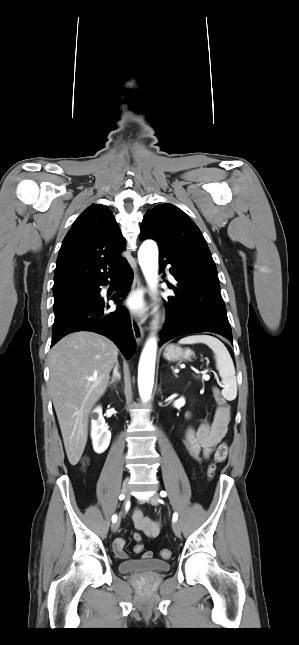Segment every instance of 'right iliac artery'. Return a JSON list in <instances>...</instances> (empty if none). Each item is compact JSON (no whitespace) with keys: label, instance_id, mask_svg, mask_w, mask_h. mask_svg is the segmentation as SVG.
<instances>
[{"label":"right iliac artery","instance_id":"1","mask_svg":"<svg viewBox=\"0 0 299 645\" xmlns=\"http://www.w3.org/2000/svg\"><path fill=\"white\" fill-rule=\"evenodd\" d=\"M124 498H125V496H124L123 494H121V495L119 496V499H120V500H123ZM116 521H117V516H116V515H113V516H112V522H116Z\"/></svg>","mask_w":299,"mask_h":645}]
</instances>
